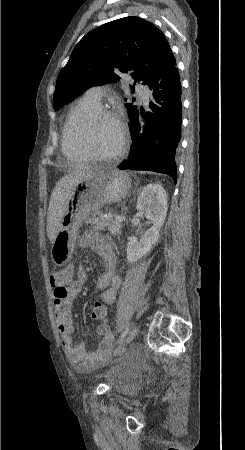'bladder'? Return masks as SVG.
<instances>
[{
    "mask_svg": "<svg viewBox=\"0 0 245 450\" xmlns=\"http://www.w3.org/2000/svg\"><path fill=\"white\" fill-rule=\"evenodd\" d=\"M101 377L111 389L124 393L134 385L138 376L132 367L119 363L118 365L105 368L101 373Z\"/></svg>",
    "mask_w": 245,
    "mask_h": 450,
    "instance_id": "bladder-1",
    "label": "bladder"
}]
</instances>
